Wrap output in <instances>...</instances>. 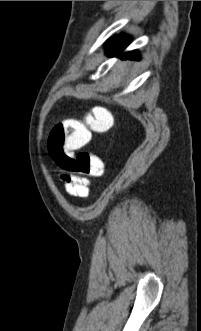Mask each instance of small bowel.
Instances as JSON below:
<instances>
[{
	"instance_id": "c3829d8e",
	"label": "small bowel",
	"mask_w": 201,
	"mask_h": 331,
	"mask_svg": "<svg viewBox=\"0 0 201 331\" xmlns=\"http://www.w3.org/2000/svg\"><path fill=\"white\" fill-rule=\"evenodd\" d=\"M65 190L74 197L85 198L89 194V180L76 174L65 173L61 176Z\"/></svg>"
}]
</instances>
